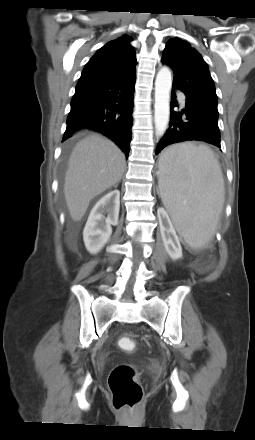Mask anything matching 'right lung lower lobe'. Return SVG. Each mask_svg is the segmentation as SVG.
<instances>
[{
    "label": "right lung lower lobe",
    "mask_w": 255,
    "mask_h": 440,
    "mask_svg": "<svg viewBox=\"0 0 255 440\" xmlns=\"http://www.w3.org/2000/svg\"><path fill=\"white\" fill-rule=\"evenodd\" d=\"M135 69L104 83L76 89L63 141L81 129L101 132L128 157L131 141Z\"/></svg>",
    "instance_id": "98d812e1"
}]
</instances>
